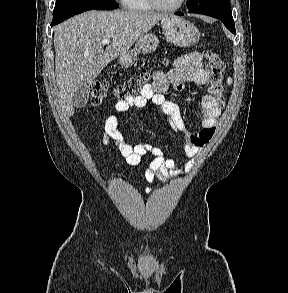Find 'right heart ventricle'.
<instances>
[{
	"instance_id": "obj_1",
	"label": "right heart ventricle",
	"mask_w": 288,
	"mask_h": 293,
	"mask_svg": "<svg viewBox=\"0 0 288 293\" xmlns=\"http://www.w3.org/2000/svg\"><path fill=\"white\" fill-rule=\"evenodd\" d=\"M123 5L133 11H150L153 9L149 0H123Z\"/></svg>"
}]
</instances>
